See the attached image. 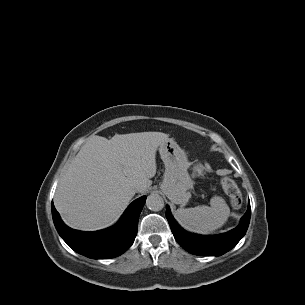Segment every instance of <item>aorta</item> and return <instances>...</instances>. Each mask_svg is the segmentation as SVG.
<instances>
[{
  "label": "aorta",
  "instance_id": "1",
  "mask_svg": "<svg viewBox=\"0 0 305 305\" xmlns=\"http://www.w3.org/2000/svg\"><path fill=\"white\" fill-rule=\"evenodd\" d=\"M146 206L151 211H160L164 208V200L159 194H150L146 199Z\"/></svg>",
  "mask_w": 305,
  "mask_h": 305
}]
</instances>
